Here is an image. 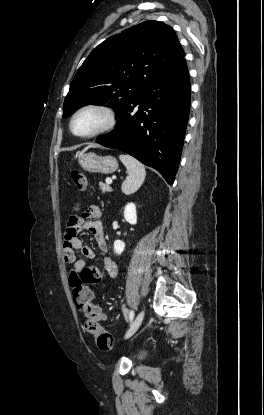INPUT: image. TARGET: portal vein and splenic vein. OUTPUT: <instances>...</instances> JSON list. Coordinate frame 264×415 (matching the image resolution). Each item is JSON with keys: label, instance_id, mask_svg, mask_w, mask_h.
<instances>
[{"label": "portal vein and splenic vein", "instance_id": "portal-vein-and-splenic-vein-1", "mask_svg": "<svg viewBox=\"0 0 264 415\" xmlns=\"http://www.w3.org/2000/svg\"><path fill=\"white\" fill-rule=\"evenodd\" d=\"M106 183H107V184H111V183H112V179H107V180H106Z\"/></svg>", "mask_w": 264, "mask_h": 415}]
</instances>
